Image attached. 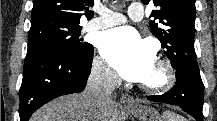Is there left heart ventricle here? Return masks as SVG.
I'll use <instances>...</instances> for the list:
<instances>
[{
    "mask_svg": "<svg viewBox=\"0 0 217 121\" xmlns=\"http://www.w3.org/2000/svg\"><path fill=\"white\" fill-rule=\"evenodd\" d=\"M157 75H158V71H157V69H156V67L154 65L151 72H150V74H149V76L144 81L153 80V79H155L157 77Z\"/></svg>",
    "mask_w": 217,
    "mask_h": 121,
    "instance_id": "b2bd125f",
    "label": "left heart ventricle"
}]
</instances>
